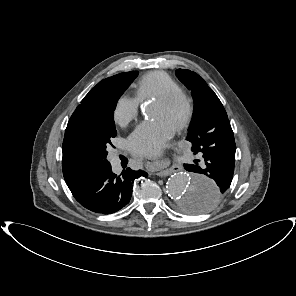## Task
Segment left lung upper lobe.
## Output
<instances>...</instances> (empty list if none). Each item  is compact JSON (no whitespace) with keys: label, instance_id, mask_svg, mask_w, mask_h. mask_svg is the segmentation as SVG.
Listing matches in <instances>:
<instances>
[{"label":"left lung upper lobe","instance_id":"1","mask_svg":"<svg viewBox=\"0 0 296 296\" xmlns=\"http://www.w3.org/2000/svg\"><path fill=\"white\" fill-rule=\"evenodd\" d=\"M177 77L191 90L194 99V112L186 140L192 143L194 154L203 152L205 136L228 120L227 113L217 95L202 77L190 70L178 69ZM194 201L187 202L182 209L193 212Z\"/></svg>","mask_w":296,"mask_h":296}]
</instances>
